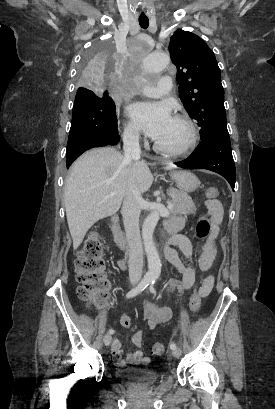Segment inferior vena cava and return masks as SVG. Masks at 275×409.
<instances>
[{"label": "inferior vena cava", "instance_id": "inferior-vena-cava-1", "mask_svg": "<svg viewBox=\"0 0 275 409\" xmlns=\"http://www.w3.org/2000/svg\"><path fill=\"white\" fill-rule=\"evenodd\" d=\"M125 164H132L133 158H140L139 132L126 130L123 134ZM141 192L131 174L128 180V192L123 200L122 215L129 249V277L140 281L143 269V247L139 231Z\"/></svg>", "mask_w": 275, "mask_h": 409}]
</instances>
